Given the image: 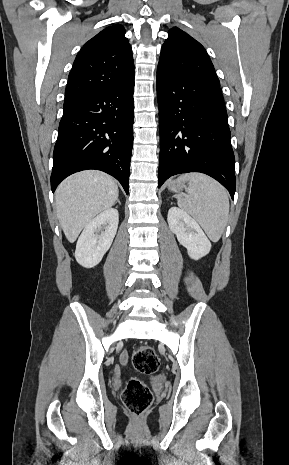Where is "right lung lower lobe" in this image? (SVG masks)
Here are the masks:
<instances>
[{
	"label": "right lung lower lobe",
	"instance_id": "98d812e1",
	"mask_svg": "<svg viewBox=\"0 0 289 465\" xmlns=\"http://www.w3.org/2000/svg\"><path fill=\"white\" fill-rule=\"evenodd\" d=\"M134 76L112 89L68 105L54 147L51 189L68 175L97 169L115 177L128 194L133 146Z\"/></svg>",
	"mask_w": 289,
	"mask_h": 465
}]
</instances>
